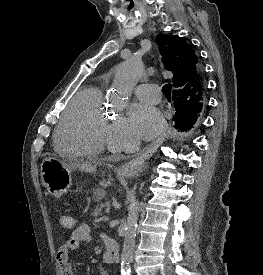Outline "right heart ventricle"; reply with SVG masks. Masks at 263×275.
I'll list each match as a JSON object with an SVG mask.
<instances>
[{
  "label": "right heart ventricle",
  "mask_w": 263,
  "mask_h": 275,
  "mask_svg": "<svg viewBox=\"0 0 263 275\" xmlns=\"http://www.w3.org/2000/svg\"><path fill=\"white\" fill-rule=\"evenodd\" d=\"M103 90L88 86L69 102L57 126L56 150L68 157H95L108 142L109 123L103 110Z\"/></svg>",
  "instance_id": "right-heart-ventricle-1"
}]
</instances>
